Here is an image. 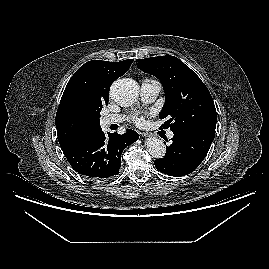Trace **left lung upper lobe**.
<instances>
[{
	"mask_svg": "<svg viewBox=\"0 0 269 269\" xmlns=\"http://www.w3.org/2000/svg\"><path fill=\"white\" fill-rule=\"evenodd\" d=\"M139 69L157 77L165 91L159 114L163 128L185 134L207 131L215 134L217 114L212 96L201 79L174 56L136 60Z\"/></svg>",
	"mask_w": 269,
	"mask_h": 269,
	"instance_id": "obj_1",
	"label": "left lung upper lobe"
}]
</instances>
